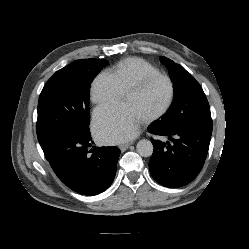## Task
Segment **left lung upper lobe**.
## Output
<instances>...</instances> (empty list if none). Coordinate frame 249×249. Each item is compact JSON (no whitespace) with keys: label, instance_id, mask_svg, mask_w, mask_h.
<instances>
[{"label":"left lung upper lobe","instance_id":"obj_1","mask_svg":"<svg viewBox=\"0 0 249 249\" xmlns=\"http://www.w3.org/2000/svg\"><path fill=\"white\" fill-rule=\"evenodd\" d=\"M160 61L167 67L173 82L174 100L162 119L156 122L167 131L212 125L209 103L200 84L179 64L163 56Z\"/></svg>","mask_w":249,"mask_h":249}]
</instances>
